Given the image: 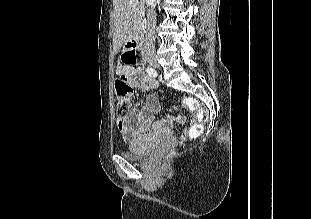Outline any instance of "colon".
Masks as SVG:
<instances>
[{
	"label": "colon",
	"instance_id": "5ec220e1",
	"mask_svg": "<svg viewBox=\"0 0 311 219\" xmlns=\"http://www.w3.org/2000/svg\"><path fill=\"white\" fill-rule=\"evenodd\" d=\"M126 62L129 64H135L136 62L135 55L130 51L128 52ZM115 88L117 95V115L119 118H123L129 109V96L131 94L132 88L125 75H121L116 79ZM182 103L187 110L193 113L196 120L189 131V136L194 138L202 131V123L207 119V112L193 98H185Z\"/></svg>",
	"mask_w": 311,
	"mask_h": 219
}]
</instances>
